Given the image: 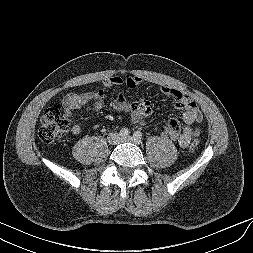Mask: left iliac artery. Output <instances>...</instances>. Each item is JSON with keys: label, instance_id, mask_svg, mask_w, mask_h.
<instances>
[{"label": "left iliac artery", "instance_id": "44dca946", "mask_svg": "<svg viewBox=\"0 0 253 253\" xmlns=\"http://www.w3.org/2000/svg\"><path fill=\"white\" fill-rule=\"evenodd\" d=\"M134 138H136L137 140L141 141L143 138V135L140 131H135L133 134Z\"/></svg>", "mask_w": 253, "mask_h": 253}]
</instances>
